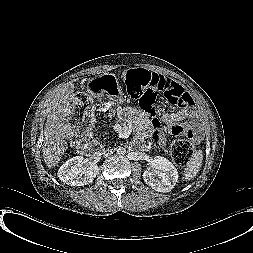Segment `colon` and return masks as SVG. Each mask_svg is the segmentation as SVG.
Wrapping results in <instances>:
<instances>
[{"instance_id": "1", "label": "colon", "mask_w": 253, "mask_h": 253, "mask_svg": "<svg viewBox=\"0 0 253 253\" xmlns=\"http://www.w3.org/2000/svg\"><path fill=\"white\" fill-rule=\"evenodd\" d=\"M127 94L137 99L140 108L149 114L156 112V100L164 94L172 105H186L190 102L187 94H181L179 88L170 80L145 69L133 68L122 72ZM95 104L86 93H79L72 108V143L78 144L85 129L93 122ZM195 136L188 131L186 136L176 138L171 144V156L178 166H185L195 150Z\"/></svg>"}]
</instances>
